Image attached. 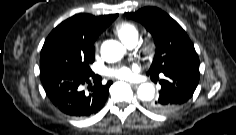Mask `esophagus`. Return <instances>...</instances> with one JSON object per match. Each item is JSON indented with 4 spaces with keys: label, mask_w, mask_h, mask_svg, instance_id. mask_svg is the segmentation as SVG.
<instances>
[{
    "label": "esophagus",
    "mask_w": 236,
    "mask_h": 135,
    "mask_svg": "<svg viewBox=\"0 0 236 135\" xmlns=\"http://www.w3.org/2000/svg\"><path fill=\"white\" fill-rule=\"evenodd\" d=\"M129 85H131L132 87H138V83H133V82H128Z\"/></svg>",
    "instance_id": "34e87169"
}]
</instances>
